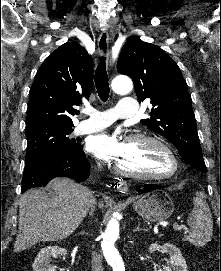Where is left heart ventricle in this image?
Returning a JSON list of instances; mask_svg holds the SVG:
<instances>
[{
    "label": "left heart ventricle",
    "mask_w": 221,
    "mask_h": 271,
    "mask_svg": "<svg viewBox=\"0 0 221 271\" xmlns=\"http://www.w3.org/2000/svg\"><path fill=\"white\" fill-rule=\"evenodd\" d=\"M138 144H142V148L145 144H149V141H154L147 137H141L136 139ZM146 156H165L164 153L159 152H143L142 149H136L132 152V156H127V161H123V164H127L128 168H145V169H171L170 166H164L162 161H146ZM124 174H128V171H124Z\"/></svg>",
    "instance_id": "obj_1"
}]
</instances>
